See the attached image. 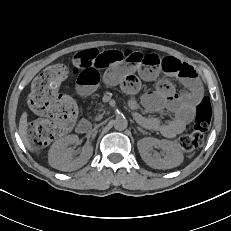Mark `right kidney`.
<instances>
[{
    "label": "right kidney",
    "instance_id": "1",
    "mask_svg": "<svg viewBox=\"0 0 231 231\" xmlns=\"http://www.w3.org/2000/svg\"><path fill=\"white\" fill-rule=\"evenodd\" d=\"M78 140L77 135H68L54 142L48 153L50 166L61 171H74L84 166L93 154V147L86 145L80 156L73 159L74 150L68 146Z\"/></svg>",
    "mask_w": 231,
    "mask_h": 231
}]
</instances>
